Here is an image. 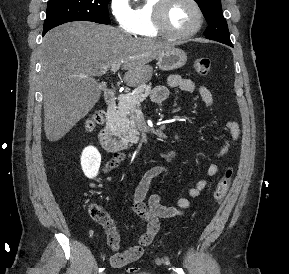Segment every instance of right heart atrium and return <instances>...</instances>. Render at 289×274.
Instances as JSON below:
<instances>
[{
  "mask_svg": "<svg viewBox=\"0 0 289 274\" xmlns=\"http://www.w3.org/2000/svg\"><path fill=\"white\" fill-rule=\"evenodd\" d=\"M110 13L117 26L127 33L133 31V9L128 0H110Z\"/></svg>",
  "mask_w": 289,
  "mask_h": 274,
  "instance_id": "d8ad5b80",
  "label": "right heart atrium"
}]
</instances>
